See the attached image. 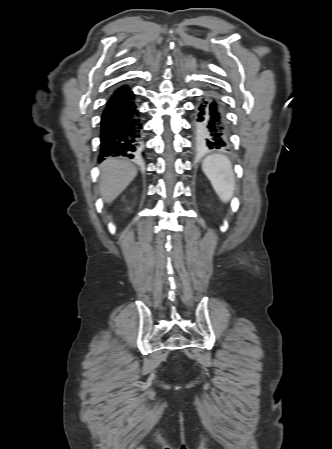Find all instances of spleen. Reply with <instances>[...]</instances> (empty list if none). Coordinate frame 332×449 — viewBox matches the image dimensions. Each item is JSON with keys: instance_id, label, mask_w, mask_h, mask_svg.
Returning <instances> with one entry per match:
<instances>
[{"instance_id": "1", "label": "spleen", "mask_w": 332, "mask_h": 449, "mask_svg": "<svg viewBox=\"0 0 332 449\" xmlns=\"http://www.w3.org/2000/svg\"><path fill=\"white\" fill-rule=\"evenodd\" d=\"M202 170L219 198L228 202L235 190V177L228 157L221 154L210 155L204 159Z\"/></svg>"}]
</instances>
